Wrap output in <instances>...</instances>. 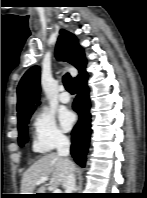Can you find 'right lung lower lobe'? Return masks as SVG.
<instances>
[{"label": "right lung lower lobe", "instance_id": "1", "mask_svg": "<svg viewBox=\"0 0 147 198\" xmlns=\"http://www.w3.org/2000/svg\"><path fill=\"white\" fill-rule=\"evenodd\" d=\"M87 73L78 77L74 83L77 90V97L73 103V109L78 113L79 120L72 131L71 154L74 160L81 167L85 166L86 154L90 139V100L87 87Z\"/></svg>", "mask_w": 147, "mask_h": 198}]
</instances>
